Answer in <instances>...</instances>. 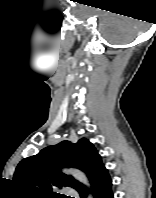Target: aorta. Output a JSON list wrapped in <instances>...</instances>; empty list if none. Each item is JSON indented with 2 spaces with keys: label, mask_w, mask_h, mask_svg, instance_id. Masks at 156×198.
<instances>
[{
  "label": "aorta",
  "mask_w": 156,
  "mask_h": 198,
  "mask_svg": "<svg viewBox=\"0 0 156 198\" xmlns=\"http://www.w3.org/2000/svg\"><path fill=\"white\" fill-rule=\"evenodd\" d=\"M64 172L71 174L75 179H77L79 182L83 183L86 185L88 188L90 187L89 181L86 177V175L81 172L80 170L77 169H65ZM88 198H92V194L90 193L88 195Z\"/></svg>",
  "instance_id": "1"
}]
</instances>
